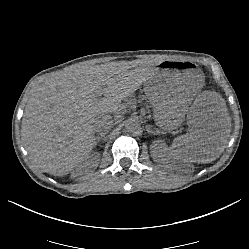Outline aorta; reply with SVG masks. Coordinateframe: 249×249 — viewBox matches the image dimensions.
I'll return each instance as SVG.
<instances>
[{"label":"aorta","mask_w":249,"mask_h":249,"mask_svg":"<svg viewBox=\"0 0 249 249\" xmlns=\"http://www.w3.org/2000/svg\"><path fill=\"white\" fill-rule=\"evenodd\" d=\"M125 128L130 133H137L141 129V124L136 118H129L125 121Z\"/></svg>","instance_id":"762f6f07"}]
</instances>
